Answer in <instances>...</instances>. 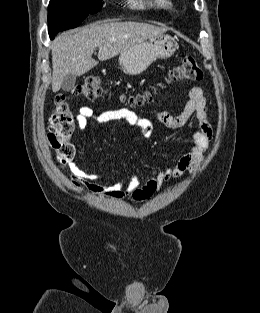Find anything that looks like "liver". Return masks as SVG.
I'll list each match as a JSON object with an SVG mask.
<instances>
[{
  "label": "liver",
  "mask_w": 260,
  "mask_h": 313,
  "mask_svg": "<svg viewBox=\"0 0 260 313\" xmlns=\"http://www.w3.org/2000/svg\"><path fill=\"white\" fill-rule=\"evenodd\" d=\"M166 31V27L127 21L93 23L62 33L51 45L52 91H59L67 74L81 76L95 67L98 61L92 54L96 48L99 49L98 59L105 61Z\"/></svg>",
  "instance_id": "1"
}]
</instances>
